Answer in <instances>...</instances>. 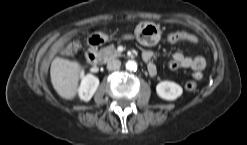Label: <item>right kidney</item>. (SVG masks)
I'll use <instances>...</instances> for the list:
<instances>
[{"label": "right kidney", "instance_id": "1", "mask_svg": "<svg viewBox=\"0 0 247 145\" xmlns=\"http://www.w3.org/2000/svg\"><path fill=\"white\" fill-rule=\"evenodd\" d=\"M82 81L79 87V96L84 101H89L99 86V79L92 74L83 76L81 72Z\"/></svg>", "mask_w": 247, "mask_h": 145}]
</instances>
